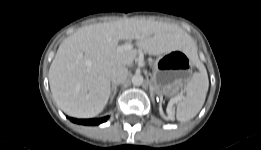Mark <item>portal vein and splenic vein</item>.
<instances>
[{
  "instance_id": "obj_1",
  "label": "portal vein and splenic vein",
  "mask_w": 261,
  "mask_h": 150,
  "mask_svg": "<svg viewBox=\"0 0 261 150\" xmlns=\"http://www.w3.org/2000/svg\"><path fill=\"white\" fill-rule=\"evenodd\" d=\"M131 49H132V45L130 43H126V44L118 47V50H120V51H126V50H131Z\"/></svg>"
}]
</instances>
